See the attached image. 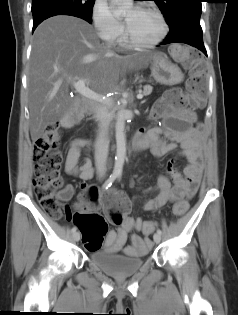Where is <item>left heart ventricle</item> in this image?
<instances>
[{"label": "left heart ventricle", "mask_w": 238, "mask_h": 315, "mask_svg": "<svg viewBox=\"0 0 238 315\" xmlns=\"http://www.w3.org/2000/svg\"><path fill=\"white\" fill-rule=\"evenodd\" d=\"M124 17L130 34L136 41L149 42L161 33L159 19L147 10L128 9Z\"/></svg>", "instance_id": "b2bd125f"}]
</instances>
